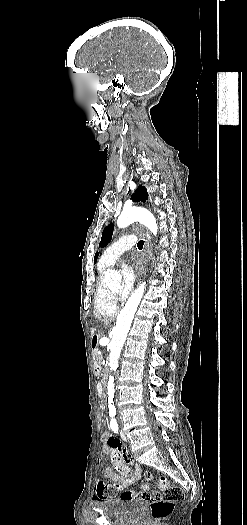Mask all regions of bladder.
<instances>
[{
  "label": "bladder",
  "mask_w": 247,
  "mask_h": 525,
  "mask_svg": "<svg viewBox=\"0 0 247 525\" xmlns=\"http://www.w3.org/2000/svg\"><path fill=\"white\" fill-rule=\"evenodd\" d=\"M93 506L104 513L107 517L125 518L134 513H140L143 507V498L129 500L121 499H106L93 502Z\"/></svg>",
  "instance_id": "31cf9c89"
}]
</instances>
